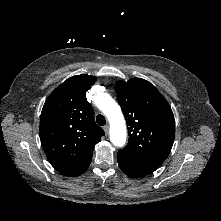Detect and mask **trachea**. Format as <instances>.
Returning <instances> with one entry per match:
<instances>
[{"label": "trachea", "mask_w": 221, "mask_h": 221, "mask_svg": "<svg viewBox=\"0 0 221 221\" xmlns=\"http://www.w3.org/2000/svg\"><path fill=\"white\" fill-rule=\"evenodd\" d=\"M96 122H97V124L100 125V126H104V125L106 124V120H105L104 116L101 115V114H98V115L96 116Z\"/></svg>", "instance_id": "1"}]
</instances>
